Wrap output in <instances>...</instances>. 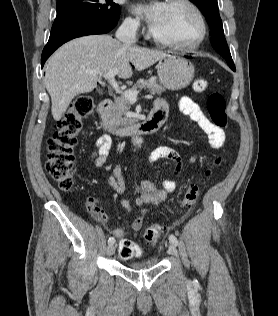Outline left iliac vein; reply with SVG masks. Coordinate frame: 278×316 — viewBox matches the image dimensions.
Returning a JSON list of instances; mask_svg holds the SVG:
<instances>
[{
	"label": "left iliac vein",
	"mask_w": 278,
	"mask_h": 316,
	"mask_svg": "<svg viewBox=\"0 0 278 316\" xmlns=\"http://www.w3.org/2000/svg\"><path fill=\"white\" fill-rule=\"evenodd\" d=\"M168 253L170 255H173V256H178V252H177V249L176 247L173 245V244H170L169 247H168Z\"/></svg>",
	"instance_id": "1"
}]
</instances>
